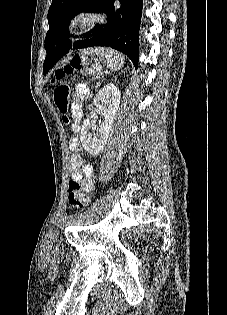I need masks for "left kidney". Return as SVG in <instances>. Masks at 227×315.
<instances>
[{"label": "left kidney", "mask_w": 227, "mask_h": 315, "mask_svg": "<svg viewBox=\"0 0 227 315\" xmlns=\"http://www.w3.org/2000/svg\"><path fill=\"white\" fill-rule=\"evenodd\" d=\"M120 99L121 92L113 83L105 85L94 97V104L105 120L99 127L94 126L89 119L84 120L80 140L83 148L88 153L97 155L103 150L112 130Z\"/></svg>", "instance_id": "1"}]
</instances>
